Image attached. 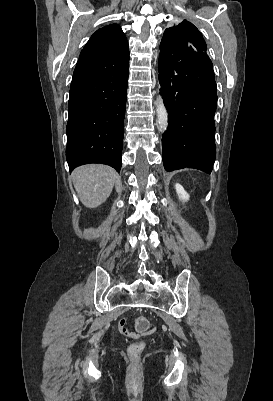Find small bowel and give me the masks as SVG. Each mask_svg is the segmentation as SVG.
<instances>
[{
	"label": "small bowel",
	"instance_id": "1",
	"mask_svg": "<svg viewBox=\"0 0 273 401\" xmlns=\"http://www.w3.org/2000/svg\"><path fill=\"white\" fill-rule=\"evenodd\" d=\"M118 324H117V327L119 328V333H120V335H121V337L122 338H127V337H133L134 336V333L133 332H131V329L128 327V324L126 323V321H125V319L124 318H119L118 319ZM149 332L151 333V334H154L155 332H156V329L154 328V327H151L150 329H149ZM143 336L144 337H147L148 336V333L147 332H144L143 333Z\"/></svg>",
	"mask_w": 273,
	"mask_h": 401
}]
</instances>
